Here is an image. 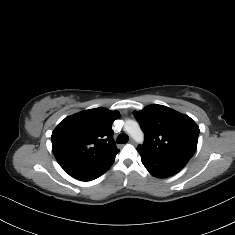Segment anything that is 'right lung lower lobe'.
I'll use <instances>...</instances> for the list:
<instances>
[{
	"label": "right lung lower lobe",
	"instance_id": "obj_1",
	"mask_svg": "<svg viewBox=\"0 0 235 235\" xmlns=\"http://www.w3.org/2000/svg\"><path fill=\"white\" fill-rule=\"evenodd\" d=\"M105 167L98 170H74V169H67L65 170L66 173H68L73 178L80 180V181H91L94 180L101 175H103L109 168Z\"/></svg>",
	"mask_w": 235,
	"mask_h": 235
}]
</instances>
